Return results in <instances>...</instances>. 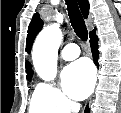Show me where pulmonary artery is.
I'll list each match as a JSON object with an SVG mask.
<instances>
[{
	"instance_id": "1",
	"label": "pulmonary artery",
	"mask_w": 121,
	"mask_h": 113,
	"mask_svg": "<svg viewBox=\"0 0 121 113\" xmlns=\"http://www.w3.org/2000/svg\"><path fill=\"white\" fill-rule=\"evenodd\" d=\"M79 55H80V49L74 43L67 44L61 51V56L66 61L74 60Z\"/></svg>"
}]
</instances>
